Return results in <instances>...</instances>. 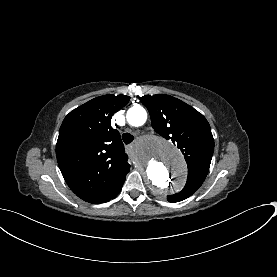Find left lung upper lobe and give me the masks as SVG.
I'll use <instances>...</instances> for the list:
<instances>
[{
    "label": "left lung upper lobe",
    "mask_w": 277,
    "mask_h": 277,
    "mask_svg": "<svg viewBox=\"0 0 277 277\" xmlns=\"http://www.w3.org/2000/svg\"><path fill=\"white\" fill-rule=\"evenodd\" d=\"M150 113L154 130L170 139L182 151L188 165V179L181 192L167 197L175 203L191 196L209 171L214 139L206 118L190 105L169 95L139 97Z\"/></svg>",
    "instance_id": "left-lung-upper-lobe-1"
}]
</instances>
